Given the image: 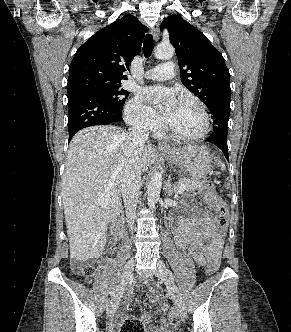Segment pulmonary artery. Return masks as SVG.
Wrapping results in <instances>:
<instances>
[{"label": "pulmonary artery", "instance_id": "e3ab8cb5", "mask_svg": "<svg viewBox=\"0 0 291 332\" xmlns=\"http://www.w3.org/2000/svg\"><path fill=\"white\" fill-rule=\"evenodd\" d=\"M174 76V64L171 61L149 69L145 72L144 78L148 80H168Z\"/></svg>", "mask_w": 291, "mask_h": 332}]
</instances>
